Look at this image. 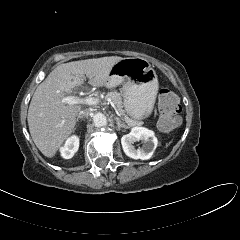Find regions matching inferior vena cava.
<instances>
[{
  "mask_svg": "<svg viewBox=\"0 0 240 240\" xmlns=\"http://www.w3.org/2000/svg\"><path fill=\"white\" fill-rule=\"evenodd\" d=\"M90 112L91 111L89 109L81 110L78 113V118H84V117L88 116L90 114Z\"/></svg>",
  "mask_w": 240,
  "mask_h": 240,
  "instance_id": "1",
  "label": "inferior vena cava"
}]
</instances>
